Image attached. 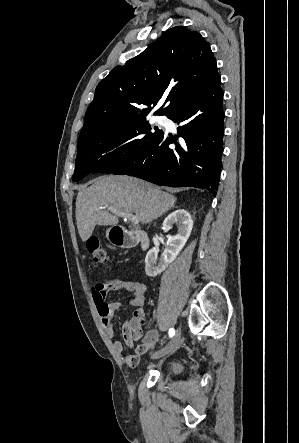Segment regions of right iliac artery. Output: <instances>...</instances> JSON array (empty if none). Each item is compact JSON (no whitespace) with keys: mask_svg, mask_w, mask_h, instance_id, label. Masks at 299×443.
Listing matches in <instances>:
<instances>
[{"mask_svg":"<svg viewBox=\"0 0 299 443\" xmlns=\"http://www.w3.org/2000/svg\"><path fill=\"white\" fill-rule=\"evenodd\" d=\"M174 334H175V330H174V328H170V329H169V337H170V338L173 337Z\"/></svg>","mask_w":299,"mask_h":443,"instance_id":"obj_1","label":"right iliac artery"}]
</instances>
